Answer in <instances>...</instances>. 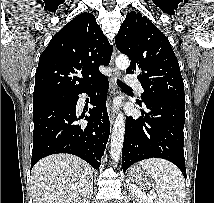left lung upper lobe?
Masks as SVG:
<instances>
[{
  "mask_svg": "<svg viewBox=\"0 0 214 203\" xmlns=\"http://www.w3.org/2000/svg\"><path fill=\"white\" fill-rule=\"evenodd\" d=\"M115 43L131 59L126 72L138 74L144 103L149 100L185 103L178 60L168 38L147 17L134 11L128 13Z\"/></svg>",
  "mask_w": 214,
  "mask_h": 203,
  "instance_id": "5c2ea615",
  "label": "left lung upper lobe"
}]
</instances>
